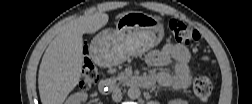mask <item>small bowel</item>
I'll return each mask as SVG.
<instances>
[{"label":"small bowel","instance_id":"c3829d8e","mask_svg":"<svg viewBox=\"0 0 252 104\" xmlns=\"http://www.w3.org/2000/svg\"><path fill=\"white\" fill-rule=\"evenodd\" d=\"M146 61L152 67L172 66V72L164 70L153 75L161 86L175 90L189 87L193 68L190 65V51L186 46L168 43L160 50L149 52Z\"/></svg>","mask_w":252,"mask_h":104}]
</instances>
